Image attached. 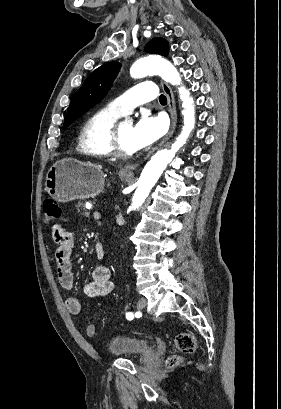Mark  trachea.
<instances>
[{"label": "trachea", "instance_id": "obj_1", "mask_svg": "<svg viewBox=\"0 0 281 409\" xmlns=\"http://www.w3.org/2000/svg\"><path fill=\"white\" fill-rule=\"evenodd\" d=\"M159 101L162 104H166L167 103V98L165 97V95H160Z\"/></svg>", "mask_w": 281, "mask_h": 409}]
</instances>
